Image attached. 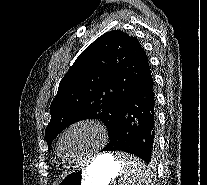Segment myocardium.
Instances as JSON below:
<instances>
[{"instance_id":"obj_1","label":"myocardium","mask_w":207,"mask_h":185,"mask_svg":"<svg viewBox=\"0 0 207 185\" xmlns=\"http://www.w3.org/2000/svg\"><path fill=\"white\" fill-rule=\"evenodd\" d=\"M79 126H91V127L95 128L97 130V132L99 133V135L102 137V139H106L109 135V132H108L106 126L99 120L92 119V118H85V119H81V120L73 122L61 133L59 140H58V143H57L58 156L65 163L76 165V164H80L88 159L94 158L99 155V149H98V150L93 151V152L89 153L88 155H86L82 158L76 159V160H69L64 156V154L62 152V142H63L64 138L66 137V135L72 129L79 127Z\"/></svg>"}]
</instances>
